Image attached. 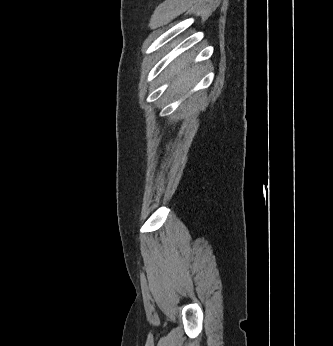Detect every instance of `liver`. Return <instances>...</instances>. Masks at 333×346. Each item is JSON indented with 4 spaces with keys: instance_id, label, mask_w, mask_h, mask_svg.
I'll return each instance as SVG.
<instances>
[{
    "instance_id": "liver-1",
    "label": "liver",
    "mask_w": 333,
    "mask_h": 346,
    "mask_svg": "<svg viewBox=\"0 0 333 346\" xmlns=\"http://www.w3.org/2000/svg\"><path fill=\"white\" fill-rule=\"evenodd\" d=\"M189 61L188 58L183 57L176 62V65L171 66L169 77H175V80L172 82L170 89L181 92L195 83L198 69L196 66L187 68Z\"/></svg>"
}]
</instances>
